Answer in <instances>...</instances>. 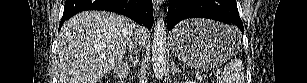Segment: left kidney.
Here are the masks:
<instances>
[{
  "label": "left kidney",
  "mask_w": 307,
  "mask_h": 83,
  "mask_svg": "<svg viewBox=\"0 0 307 83\" xmlns=\"http://www.w3.org/2000/svg\"><path fill=\"white\" fill-rule=\"evenodd\" d=\"M186 83H195V82H193V81H188V82H186Z\"/></svg>",
  "instance_id": "5707ae66"
}]
</instances>
